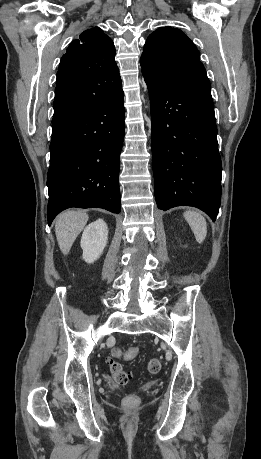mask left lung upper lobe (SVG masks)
Masks as SVG:
<instances>
[{
	"mask_svg": "<svg viewBox=\"0 0 261 459\" xmlns=\"http://www.w3.org/2000/svg\"><path fill=\"white\" fill-rule=\"evenodd\" d=\"M194 43L179 29L159 28L149 35L140 59L142 73L165 84L211 91Z\"/></svg>",
	"mask_w": 261,
	"mask_h": 459,
	"instance_id": "obj_1",
	"label": "left lung upper lobe"
}]
</instances>
